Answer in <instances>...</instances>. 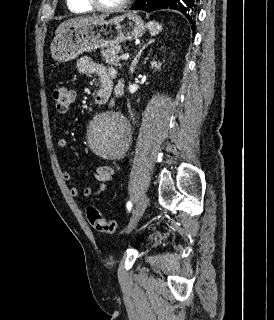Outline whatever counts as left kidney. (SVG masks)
<instances>
[{
	"mask_svg": "<svg viewBox=\"0 0 274 320\" xmlns=\"http://www.w3.org/2000/svg\"><path fill=\"white\" fill-rule=\"evenodd\" d=\"M161 64H158V62H151V68H155V70H160Z\"/></svg>",
	"mask_w": 274,
	"mask_h": 320,
	"instance_id": "5707ae66",
	"label": "left kidney"
}]
</instances>
